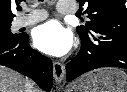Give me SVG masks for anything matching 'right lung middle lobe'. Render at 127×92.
<instances>
[{
  "instance_id": "dd1d6c3e",
  "label": "right lung middle lobe",
  "mask_w": 127,
  "mask_h": 92,
  "mask_svg": "<svg viewBox=\"0 0 127 92\" xmlns=\"http://www.w3.org/2000/svg\"><path fill=\"white\" fill-rule=\"evenodd\" d=\"M11 24L0 25V38L2 39H17L21 34H13L10 30Z\"/></svg>"
}]
</instances>
